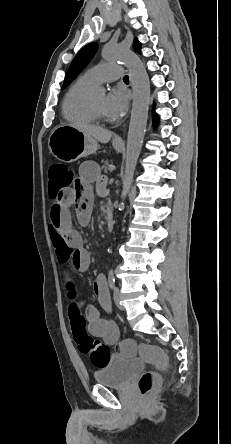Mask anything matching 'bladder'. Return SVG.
<instances>
[{"mask_svg":"<svg viewBox=\"0 0 231 444\" xmlns=\"http://www.w3.org/2000/svg\"><path fill=\"white\" fill-rule=\"evenodd\" d=\"M143 367V362L137 358L125 359L112 355L106 364L94 373V378L101 386L119 388L140 373Z\"/></svg>","mask_w":231,"mask_h":444,"instance_id":"obj_1","label":"bladder"}]
</instances>
